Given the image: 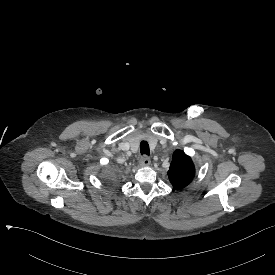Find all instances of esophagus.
Instances as JSON below:
<instances>
[{"instance_id": "obj_1", "label": "esophagus", "mask_w": 275, "mask_h": 275, "mask_svg": "<svg viewBox=\"0 0 275 275\" xmlns=\"http://www.w3.org/2000/svg\"><path fill=\"white\" fill-rule=\"evenodd\" d=\"M150 163H151L150 159L146 156H143L139 161V164L142 167H148Z\"/></svg>"}]
</instances>
